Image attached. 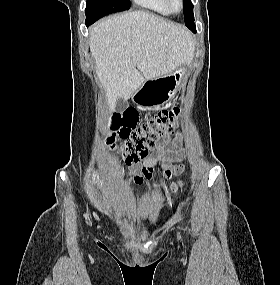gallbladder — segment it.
Listing matches in <instances>:
<instances>
[{"label": "gallbladder", "instance_id": "gallbladder-1", "mask_svg": "<svg viewBox=\"0 0 280 285\" xmlns=\"http://www.w3.org/2000/svg\"><path fill=\"white\" fill-rule=\"evenodd\" d=\"M127 106H128V103L124 99H122V98L117 99V101H116L117 111L122 112L127 108Z\"/></svg>", "mask_w": 280, "mask_h": 285}]
</instances>
